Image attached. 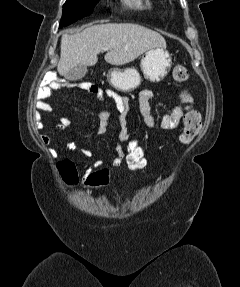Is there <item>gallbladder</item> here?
Wrapping results in <instances>:
<instances>
[{
    "instance_id": "1",
    "label": "gallbladder",
    "mask_w": 240,
    "mask_h": 287,
    "mask_svg": "<svg viewBox=\"0 0 240 287\" xmlns=\"http://www.w3.org/2000/svg\"><path fill=\"white\" fill-rule=\"evenodd\" d=\"M87 73V66L78 64L70 71H68L64 77L68 81H76L82 79Z\"/></svg>"
}]
</instances>
